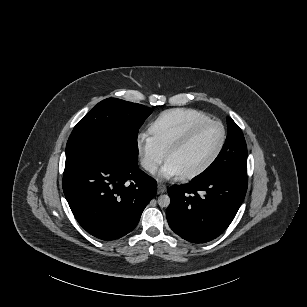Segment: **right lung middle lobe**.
I'll use <instances>...</instances> for the list:
<instances>
[{"mask_svg":"<svg viewBox=\"0 0 307 307\" xmlns=\"http://www.w3.org/2000/svg\"><path fill=\"white\" fill-rule=\"evenodd\" d=\"M151 113L149 107L121 99L99 102L74 127L66 145V157L85 150L104 149L137 163L138 130Z\"/></svg>","mask_w":307,"mask_h":307,"instance_id":"1","label":"right lung middle lobe"}]
</instances>
